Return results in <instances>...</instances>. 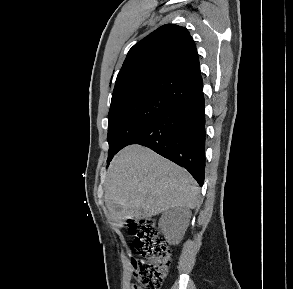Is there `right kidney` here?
I'll use <instances>...</instances> for the list:
<instances>
[{
    "label": "right kidney",
    "instance_id": "obj_1",
    "mask_svg": "<svg viewBox=\"0 0 293 289\" xmlns=\"http://www.w3.org/2000/svg\"><path fill=\"white\" fill-rule=\"evenodd\" d=\"M190 212L184 208H174L165 212L159 220V228L165 238L172 243L179 242L188 227Z\"/></svg>",
    "mask_w": 293,
    "mask_h": 289
}]
</instances>
